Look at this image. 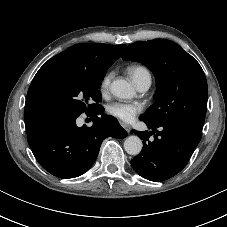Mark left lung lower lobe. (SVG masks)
Masks as SVG:
<instances>
[{
	"instance_id": "1",
	"label": "left lung lower lobe",
	"mask_w": 227,
	"mask_h": 227,
	"mask_svg": "<svg viewBox=\"0 0 227 227\" xmlns=\"http://www.w3.org/2000/svg\"><path fill=\"white\" fill-rule=\"evenodd\" d=\"M145 123L152 132L131 131L143 140V149L131 160V165L145 179L165 181L186 166L201 140V131L180 123ZM150 135L154 139H149Z\"/></svg>"
}]
</instances>
